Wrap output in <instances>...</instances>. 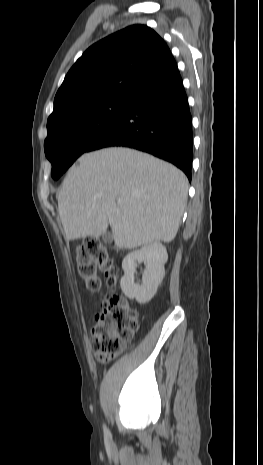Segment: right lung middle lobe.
<instances>
[{
    "label": "right lung middle lobe",
    "instance_id": "1",
    "mask_svg": "<svg viewBox=\"0 0 263 465\" xmlns=\"http://www.w3.org/2000/svg\"><path fill=\"white\" fill-rule=\"evenodd\" d=\"M133 97H109L73 107L47 122L45 155L57 180L73 162L88 152L127 112Z\"/></svg>",
    "mask_w": 263,
    "mask_h": 465
}]
</instances>
